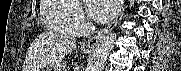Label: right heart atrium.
I'll list each match as a JSON object with an SVG mask.
<instances>
[{"label": "right heart atrium", "mask_w": 181, "mask_h": 71, "mask_svg": "<svg viewBox=\"0 0 181 71\" xmlns=\"http://www.w3.org/2000/svg\"><path fill=\"white\" fill-rule=\"evenodd\" d=\"M71 2H75V1H71ZM70 23L73 26V28L79 31V33L81 32V30H84L88 26L86 17L80 7L75 6V9L70 17Z\"/></svg>", "instance_id": "obj_1"}]
</instances>
